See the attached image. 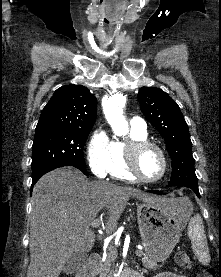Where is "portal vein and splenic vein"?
Masks as SVG:
<instances>
[{"instance_id":"obj_1","label":"portal vein and splenic vein","mask_w":221,"mask_h":277,"mask_svg":"<svg viewBox=\"0 0 221 277\" xmlns=\"http://www.w3.org/2000/svg\"><path fill=\"white\" fill-rule=\"evenodd\" d=\"M101 224V219H96L93 222H91V226L94 227H98ZM137 254V253H136Z\"/></svg>"}]
</instances>
